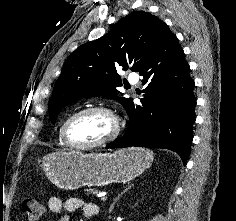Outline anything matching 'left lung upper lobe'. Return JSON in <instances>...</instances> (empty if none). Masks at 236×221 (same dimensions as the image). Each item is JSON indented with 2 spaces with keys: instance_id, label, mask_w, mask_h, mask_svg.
Here are the masks:
<instances>
[{
  "instance_id": "5c2ea615",
  "label": "left lung upper lobe",
  "mask_w": 236,
  "mask_h": 221,
  "mask_svg": "<svg viewBox=\"0 0 236 221\" xmlns=\"http://www.w3.org/2000/svg\"><path fill=\"white\" fill-rule=\"evenodd\" d=\"M168 26L158 17L136 11L117 22L103 37L78 47L65 61L49 101L55 123L59 112L86 94L117 98L122 86L118 68L139 72L151 58ZM125 109L131 99L118 98Z\"/></svg>"
}]
</instances>
